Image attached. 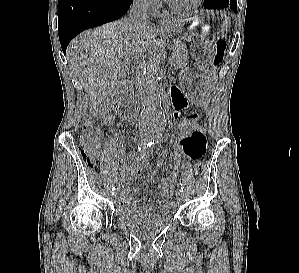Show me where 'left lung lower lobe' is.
Listing matches in <instances>:
<instances>
[{
	"label": "left lung lower lobe",
	"mask_w": 299,
	"mask_h": 273,
	"mask_svg": "<svg viewBox=\"0 0 299 273\" xmlns=\"http://www.w3.org/2000/svg\"><path fill=\"white\" fill-rule=\"evenodd\" d=\"M229 7L235 13H237L236 0H205V9H223Z\"/></svg>",
	"instance_id": "0a47b994"
}]
</instances>
